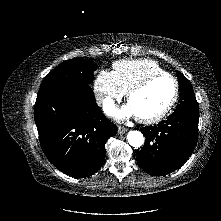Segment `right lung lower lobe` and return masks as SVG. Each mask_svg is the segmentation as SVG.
Segmentation results:
<instances>
[{
    "label": "right lung lower lobe",
    "mask_w": 221,
    "mask_h": 221,
    "mask_svg": "<svg viewBox=\"0 0 221 221\" xmlns=\"http://www.w3.org/2000/svg\"><path fill=\"white\" fill-rule=\"evenodd\" d=\"M35 122L48 160L73 177L93 175L104 163L117 127L101 112L89 84L38 92Z\"/></svg>",
    "instance_id": "1"
}]
</instances>
